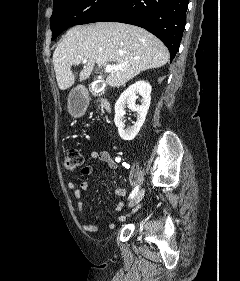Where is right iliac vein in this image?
Returning <instances> with one entry per match:
<instances>
[{"mask_svg":"<svg viewBox=\"0 0 240 281\" xmlns=\"http://www.w3.org/2000/svg\"><path fill=\"white\" fill-rule=\"evenodd\" d=\"M144 189H142L141 191H139L134 197L133 199L130 201L129 203V207H134L136 204H138L144 197Z\"/></svg>","mask_w":240,"mask_h":281,"instance_id":"63e3f726","label":"right iliac vein"}]
</instances>
